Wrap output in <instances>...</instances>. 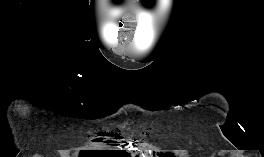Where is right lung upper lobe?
I'll list each match as a JSON object with an SVG mask.
<instances>
[{
  "instance_id": "1",
  "label": "right lung upper lobe",
  "mask_w": 264,
  "mask_h": 157,
  "mask_svg": "<svg viewBox=\"0 0 264 157\" xmlns=\"http://www.w3.org/2000/svg\"><path fill=\"white\" fill-rule=\"evenodd\" d=\"M99 156H105V157H129L128 154L125 151L122 150H115V151H105L98 154ZM86 156L85 153H81L80 157Z\"/></svg>"
}]
</instances>
